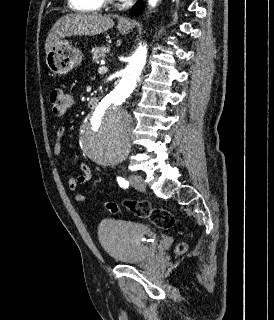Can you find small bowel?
<instances>
[{
    "label": "small bowel",
    "mask_w": 274,
    "mask_h": 320,
    "mask_svg": "<svg viewBox=\"0 0 274 320\" xmlns=\"http://www.w3.org/2000/svg\"><path fill=\"white\" fill-rule=\"evenodd\" d=\"M66 132L65 126H59L56 130L55 134V143L53 147V155L56 161L59 163L62 159V154H63V138ZM79 168L81 171V174L78 176H68L67 178V187L68 190L71 192H75L77 188L88 182L91 179V170L90 167L84 163L81 162L79 164ZM87 196L81 193L76 194V200L79 202H85L87 201Z\"/></svg>",
    "instance_id": "c3829d8e"
}]
</instances>
